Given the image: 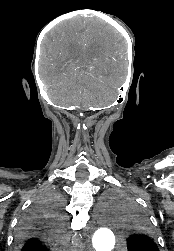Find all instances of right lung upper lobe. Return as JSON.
I'll use <instances>...</instances> for the list:
<instances>
[{"label": "right lung upper lobe", "mask_w": 174, "mask_h": 251, "mask_svg": "<svg viewBox=\"0 0 174 251\" xmlns=\"http://www.w3.org/2000/svg\"><path fill=\"white\" fill-rule=\"evenodd\" d=\"M29 226L28 235H34L45 239L47 242L44 246L35 242L32 247L24 251H48L56 248L55 244L59 239L60 223L49 213L45 211L33 212L25 221Z\"/></svg>", "instance_id": "cb5924a9"}]
</instances>
